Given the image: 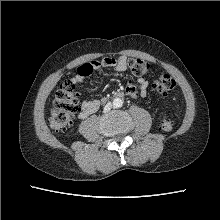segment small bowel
I'll use <instances>...</instances> for the list:
<instances>
[{
  "label": "small bowel",
  "instance_id": "1",
  "mask_svg": "<svg viewBox=\"0 0 220 220\" xmlns=\"http://www.w3.org/2000/svg\"><path fill=\"white\" fill-rule=\"evenodd\" d=\"M101 68H111L117 72L125 71L127 68V58L120 56L118 58L106 57L102 60H94L82 64L77 69V74L71 78V82L75 86L81 85L85 78L91 75L93 72L100 70ZM87 69H90V73H87ZM139 88H137L132 82H129L125 88L126 94L131 98L137 96H146L148 91V82L146 79L140 77L137 80ZM100 107L99 100L84 101L80 106L79 117L86 118L89 115L95 113Z\"/></svg>",
  "mask_w": 220,
  "mask_h": 220
}]
</instances>
